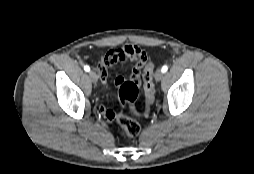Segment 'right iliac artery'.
<instances>
[{
    "label": "right iliac artery",
    "instance_id": "right-iliac-artery-1",
    "mask_svg": "<svg viewBox=\"0 0 254 174\" xmlns=\"http://www.w3.org/2000/svg\"><path fill=\"white\" fill-rule=\"evenodd\" d=\"M84 70H85L86 72H89V71H90V67H89L88 65H86V66H84Z\"/></svg>",
    "mask_w": 254,
    "mask_h": 174
}]
</instances>
